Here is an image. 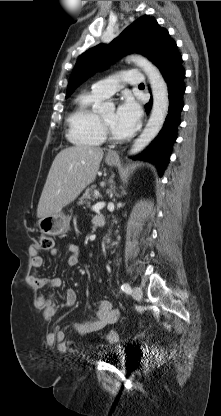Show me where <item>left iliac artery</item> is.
<instances>
[{
  "instance_id": "left-iliac-artery-1",
  "label": "left iliac artery",
  "mask_w": 221,
  "mask_h": 416,
  "mask_svg": "<svg viewBox=\"0 0 221 416\" xmlns=\"http://www.w3.org/2000/svg\"><path fill=\"white\" fill-rule=\"evenodd\" d=\"M121 289H122V291H124V292H126V293L131 292V287H130V285H129L128 283H124V284L121 286Z\"/></svg>"
}]
</instances>
